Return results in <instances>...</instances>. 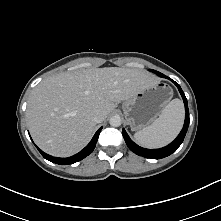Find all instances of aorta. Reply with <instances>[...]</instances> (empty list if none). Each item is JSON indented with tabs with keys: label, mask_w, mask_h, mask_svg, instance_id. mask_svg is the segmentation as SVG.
Listing matches in <instances>:
<instances>
[{
	"label": "aorta",
	"mask_w": 221,
	"mask_h": 221,
	"mask_svg": "<svg viewBox=\"0 0 221 221\" xmlns=\"http://www.w3.org/2000/svg\"><path fill=\"white\" fill-rule=\"evenodd\" d=\"M109 123L113 127H118L121 125L122 120H121L120 116L115 115L110 118Z\"/></svg>",
	"instance_id": "1"
}]
</instances>
